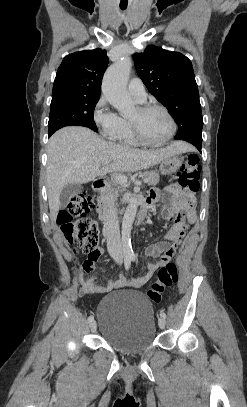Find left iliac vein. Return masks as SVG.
<instances>
[{
	"label": "left iliac vein",
	"instance_id": "obj_1",
	"mask_svg": "<svg viewBox=\"0 0 247 407\" xmlns=\"http://www.w3.org/2000/svg\"><path fill=\"white\" fill-rule=\"evenodd\" d=\"M158 325H159V327L161 328V329H164L165 328V326H166V321H165V319L164 318H159V320H158Z\"/></svg>",
	"mask_w": 247,
	"mask_h": 407
}]
</instances>
